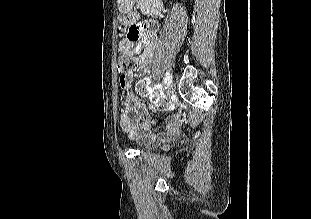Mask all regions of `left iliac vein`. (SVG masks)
<instances>
[{
  "instance_id": "left-iliac-vein-1",
  "label": "left iliac vein",
  "mask_w": 311,
  "mask_h": 219,
  "mask_svg": "<svg viewBox=\"0 0 311 219\" xmlns=\"http://www.w3.org/2000/svg\"><path fill=\"white\" fill-rule=\"evenodd\" d=\"M175 90H176V86H175V83H171L170 86L168 87V90H167V97L168 98H171L174 93H175Z\"/></svg>"
}]
</instances>
